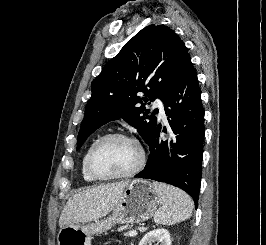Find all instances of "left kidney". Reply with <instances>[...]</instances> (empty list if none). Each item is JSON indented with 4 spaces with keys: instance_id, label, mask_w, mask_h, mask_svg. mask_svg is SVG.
I'll use <instances>...</instances> for the list:
<instances>
[{
    "instance_id": "left-kidney-1",
    "label": "left kidney",
    "mask_w": 266,
    "mask_h": 245,
    "mask_svg": "<svg viewBox=\"0 0 266 245\" xmlns=\"http://www.w3.org/2000/svg\"><path fill=\"white\" fill-rule=\"evenodd\" d=\"M151 243H156V245H171L172 241L169 231H166V229H154V231H149V233L144 235L143 239H141L139 245H151Z\"/></svg>"
}]
</instances>
